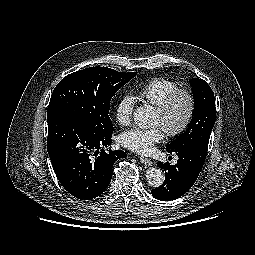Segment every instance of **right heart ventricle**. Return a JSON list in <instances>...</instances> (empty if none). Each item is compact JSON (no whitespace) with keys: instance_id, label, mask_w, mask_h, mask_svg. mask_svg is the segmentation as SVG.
<instances>
[{"instance_id":"obj_1","label":"right heart ventricle","mask_w":255,"mask_h":255,"mask_svg":"<svg viewBox=\"0 0 255 255\" xmlns=\"http://www.w3.org/2000/svg\"><path fill=\"white\" fill-rule=\"evenodd\" d=\"M176 88H178L177 83L170 79L153 78L137 91V98L142 102L157 106Z\"/></svg>"}]
</instances>
